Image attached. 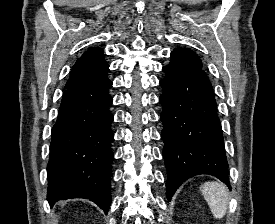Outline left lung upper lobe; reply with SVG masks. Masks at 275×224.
I'll list each match as a JSON object with an SVG mask.
<instances>
[{"instance_id":"left-lung-upper-lobe-1","label":"left lung upper lobe","mask_w":275,"mask_h":224,"mask_svg":"<svg viewBox=\"0 0 275 224\" xmlns=\"http://www.w3.org/2000/svg\"><path fill=\"white\" fill-rule=\"evenodd\" d=\"M170 56L171 62L167 66H164L163 69L174 73L199 71L206 75L202 70V62L200 58L192 50L176 48L171 52Z\"/></svg>"}]
</instances>
